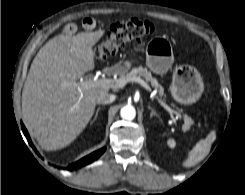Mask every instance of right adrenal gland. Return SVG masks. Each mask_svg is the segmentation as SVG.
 <instances>
[{"label": "right adrenal gland", "mask_w": 245, "mask_h": 195, "mask_svg": "<svg viewBox=\"0 0 245 195\" xmlns=\"http://www.w3.org/2000/svg\"><path fill=\"white\" fill-rule=\"evenodd\" d=\"M100 109H101L100 107L97 108L96 113H95V117H94V119L92 120L91 124L97 119L98 113H99Z\"/></svg>", "instance_id": "2a0ac1e0"}]
</instances>
